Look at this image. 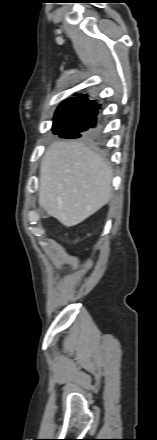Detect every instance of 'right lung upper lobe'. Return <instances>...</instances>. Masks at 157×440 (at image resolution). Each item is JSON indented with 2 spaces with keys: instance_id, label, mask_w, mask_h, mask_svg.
Returning a JSON list of instances; mask_svg holds the SVG:
<instances>
[{
  "instance_id": "right-lung-upper-lobe-1",
  "label": "right lung upper lobe",
  "mask_w": 157,
  "mask_h": 440,
  "mask_svg": "<svg viewBox=\"0 0 157 440\" xmlns=\"http://www.w3.org/2000/svg\"><path fill=\"white\" fill-rule=\"evenodd\" d=\"M98 109L99 105L90 102L87 95L71 97L59 105L54 121H78L83 127H92Z\"/></svg>"
}]
</instances>
